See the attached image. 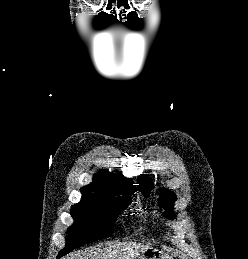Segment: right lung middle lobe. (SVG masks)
I'll return each mask as SVG.
<instances>
[{"label": "right lung middle lobe", "instance_id": "1", "mask_svg": "<svg viewBox=\"0 0 248 259\" xmlns=\"http://www.w3.org/2000/svg\"><path fill=\"white\" fill-rule=\"evenodd\" d=\"M134 192L126 191L121 193L122 196H82L81 201L71 208L75 223L68 230L66 246L58 258L84 244L109 237L121 210L132 201L128 195Z\"/></svg>", "mask_w": 248, "mask_h": 259}]
</instances>
